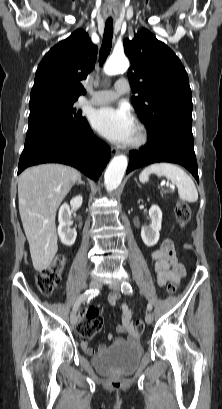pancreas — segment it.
<instances>
[{
    "instance_id": "cf45deb5",
    "label": "pancreas",
    "mask_w": 222,
    "mask_h": 409,
    "mask_svg": "<svg viewBox=\"0 0 222 409\" xmlns=\"http://www.w3.org/2000/svg\"><path fill=\"white\" fill-rule=\"evenodd\" d=\"M166 192H167V190H162V191H161L162 196H163V194L166 193Z\"/></svg>"
}]
</instances>
